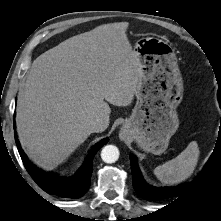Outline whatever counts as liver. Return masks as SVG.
Returning <instances> with one entry per match:
<instances>
[{
	"instance_id": "liver-1",
	"label": "liver",
	"mask_w": 221,
	"mask_h": 221,
	"mask_svg": "<svg viewBox=\"0 0 221 221\" xmlns=\"http://www.w3.org/2000/svg\"><path fill=\"white\" fill-rule=\"evenodd\" d=\"M128 26H98L33 61L18 96L16 123L21 145L37 165L53 169L66 160L93 133V120L109 122L108 103H132L140 63Z\"/></svg>"
}]
</instances>
